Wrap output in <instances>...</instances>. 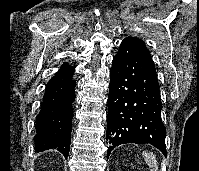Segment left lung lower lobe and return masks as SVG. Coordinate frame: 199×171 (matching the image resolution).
<instances>
[{"label": "left lung lower lobe", "instance_id": "left-lung-lower-lobe-1", "mask_svg": "<svg viewBox=\"0 0 199 171\" xmlns=\"http://www.w3.org/2000/svg\"><path fill=\"white\" fill-rule=\"evenodd\" d=\"M161 110L159 84L150 53L124 39L110 71L107 159L116 146L124 143H149L167 155Z\"/></svg>", "mask_w": 199, "mask_h": 171}]
</instances>
